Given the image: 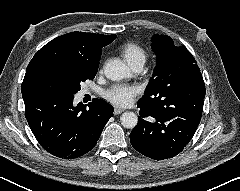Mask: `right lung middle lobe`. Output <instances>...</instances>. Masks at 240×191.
Instances as JSON below:
<instances>
[{"label": "right lung middle lobe", "instance_id": "right-lung-middle-lobe-1", "mask_svg": "<svg viewBox=\"0 0 240 191\" xmlns=\"http://www.w3.org/2000/svg\"><path fill=\"white\" fill-rule=\"evenodd\" d=\"M97 70L73 69L61 66H47L32 79L29 92L48 93L65 98H74L80 84L94 79Z\"/></svg>", "mask_w": 240, "mask_h": 191}]
</instances>
